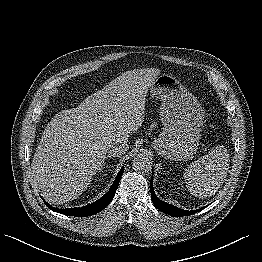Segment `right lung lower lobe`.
<instances>
[{
	"label": "right lung lower lobe",
	"instance_id": "98d812e1",
	"mask_svg": "<svg viewBox=\"0 0 262 262\" xmlns=\"http://www.w3.org/2000/svg\"><path fill=\"white\" fill-rule=\"evenodd\" d=\"M123 170L124 168H122L120 170V172L118 173L116 179L114 180L111 188L109 189V191L102 196L100 199H98L97 201L86 205L84 207L81 208H67V209H58V208H54L52 206H50L48 203H46V205L53 211L61 213V214H65L68 216H79V217H87L90 215H94L98 212H100L101 210H103L113 199L114 195H115V191L117 189V186L119 184V180L123 174Z\"/></svg>",
	"mask_w": 262,
	"mask_h": 262
}]
</instances>
